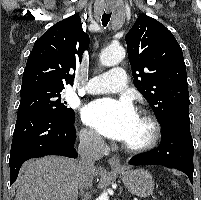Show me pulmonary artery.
<instances>
[{"mask_svg":"<svg viewBox=\"0 0 201 200\" xmlns=\"http://www.w3.org/2000/svg\"><path fill=\"white\" fill-rule=\"evenodd\" d=\"M126 85L125 71L122 68H114L93 77L85 90L89 94L116 93L122 91Z\"/></svg>","mask_w":201,"mask_h":200,"instance_id":"pulmonary-artery-1","label":"pulmonary artery"}]
</instances>
